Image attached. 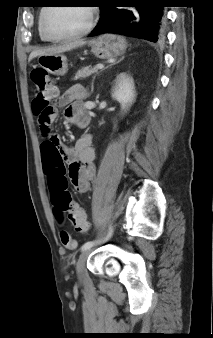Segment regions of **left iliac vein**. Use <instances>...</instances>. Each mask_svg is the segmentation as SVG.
I'll return each mask as SVG.
<instances>
[{
    "label": "left iliac vein",
    "instance_id": "left-iliac-vein-1",
    "mask_svg": "<svg viewBox=\"0 0 213 338\" xmlns=\"http://www.w3.org/2000/svg\"><path fill=\"white\" fill-rule=\"evenodd\" d=\"M90 252H91V249L85 250L79 256V259L76 264V271H77V275L79 278H82L84 275L86 260Z\"/></svg>",
    "mask_w": 213,
    "mask_h": 338
}]
</instances>
